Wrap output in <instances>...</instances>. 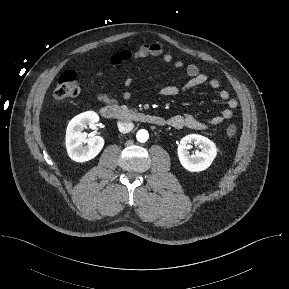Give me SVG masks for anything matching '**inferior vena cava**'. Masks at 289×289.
<instances>
[{"instance_id":"1","label":"inferior vena cava","mask_w":289,"mask_h":289,"mask_svg":"<svg viewBox=\"0 0 289 289\" xmlns=\"http://www.w3.org/2000/svg\"><path fill=\"white\" fill-rule=\"evenodd\" d=\"M134 128V124L130 121H121L118 123V129L121 133H129Z\"/></svg>"}]
</instances>
